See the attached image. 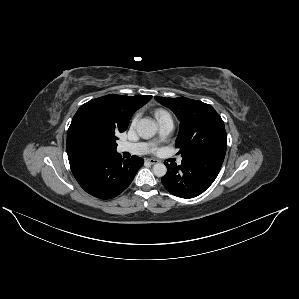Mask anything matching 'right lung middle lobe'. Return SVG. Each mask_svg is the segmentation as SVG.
<instances>
[{
  "label": "right lung middle lobe",
  "mask_w": 299,
  "mask_h": 299,
  "mask_svg": "<svg viewBox=\"0 0 299 299\" xmlns=\"http://www.w3.org/2000/svg\"><path fill=\"white\" fill-rule=\"evenodd\" d=\"M119 132L122 131L108 124L88 122L81 130V138L89 151H116V134Z\"/></svg>",
  "instance_id": "1"
}]
</instances>
